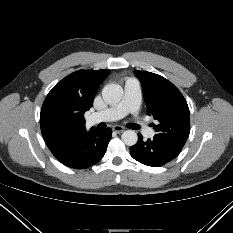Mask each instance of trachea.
<instances>
[{
    "instance_id": "trachea-1",
    "label": "trachea",
    "mask_w": 233,
    "mask_h": 233,
    "mask_svg": "<svg viewBox=\"0 0 233 233\" xmlns=\"http://www.w3.org/2000/svg\"><path fill=\"white\" fill-rule=\"evenodd\" d=\"M128 128L134 129V130H138V129H139V126L136 125V124H134V123H130V124H128Z\"/></svg>"
}]
</instances>
